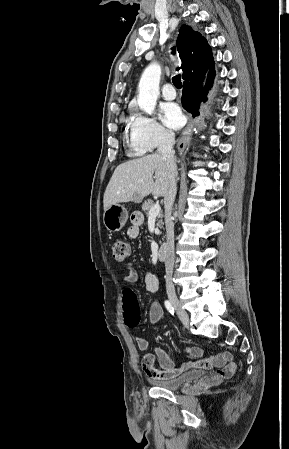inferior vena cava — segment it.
I'll return each instance as SVG.
<instances>
[{"instance_id":"602c4592","label":"inferior vena cava","mask_w":289,"mask_h":449,"mask_svg":"<svg viewBox=\"0 0 289 449\" xmlns=\"http://www.w3.org/2000/svg\"><path fill=\"white\" fill-rule=\"evenodd\" d=\"M175 143V137L173 133H166L159 145L158 153L163 155L167 161L169 168V188L164 196L165 204V224H166V260H165V270H166V290L167 292H174V285L172 283V273L174 266V224L172 221V207L177 193L176 177H177V167L176 160L174 157L173 145Z\"/></svg>"}]
</instances>
